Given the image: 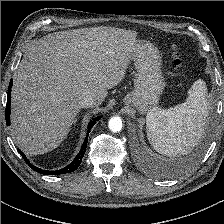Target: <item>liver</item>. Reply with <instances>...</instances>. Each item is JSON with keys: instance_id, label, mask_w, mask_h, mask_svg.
<instances>
[{"instance_id": "6515ba94", "label": "liver", "mask_w": 224, "mask_h": 224, "mask_svg": "<svg viewBox=\"0 0 224 224\" xmlns=\"http://www.w3.org/2000/svg\"><path fill=\"white\" fill-rule=\"evenodd\" d=\"M137 32L113 27L48 34L34 42L13 76L11 127L27 155L47 153L67 137L90 95L100 105L133 57Z\"/></svg>"}]
</instances>
